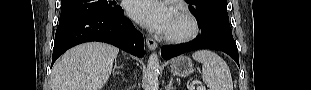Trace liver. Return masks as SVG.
<instances>
[{"label": "liver", "mask_w": 311, "mask_h": 90, "mask_svg": "<svg viewBox=\"0 0 311 90\" xmlns=\"http://www.w3.org/2000/svg\"><path fill=\"white\" fill-rule=\"evenodd\" d=\"M119 49L89 42L68 50L52 69V90H100L108 81Z\"/></svg>", "instance_id": "6515ba94"}]
</instances>
